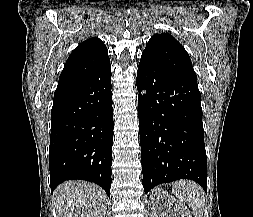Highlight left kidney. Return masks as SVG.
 Segmentation results:
<instances>
[{"mask_svg": "<svg viewBox=\"0 0 253 217\" xmlns=\"http://www.w3.org/2000/svg\"><path fill=\"white\" fill-rule=\"evenodd\" d=\"M160 200H162V203ZM151 202L155 217H167L166 213L162 211L164 205L169 207L174 217H192L185 204L179 202L173 196L169 195L166 191L160 188L154 190Z\"/></svg>", "mask_w": 253, "mask_h": 217, "instance_id": "1", "label": "left kidney"}]
</instances>
